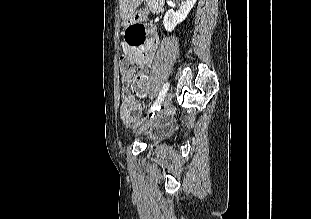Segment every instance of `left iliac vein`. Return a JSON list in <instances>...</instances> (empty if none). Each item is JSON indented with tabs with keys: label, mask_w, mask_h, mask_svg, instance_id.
Returning a JSON list of instances; mask_svg holds the SVG:
<instances>
[{
	"label": "left iliac vein",
	"mask_w": 311,
	"mask_h": 219,
	"mask_svg": "<svg viewBox=\"0 0 311 219\" xmlns=\"http://www.w3.org/2000/svg\"><path fill=\"white\" fill-rule=\"evenodd\" d=\"M173 98V94L171 92L167 93L163 99L162 105H161V110H165L166 108L169 107L171 104ZM157 117H152L150 118L139 130L138 134L142 133L143 131L147 130L150 126L153 125V123L156 121Z\"/></svg>",
	"instance_id": "1"
}]
</instances>
